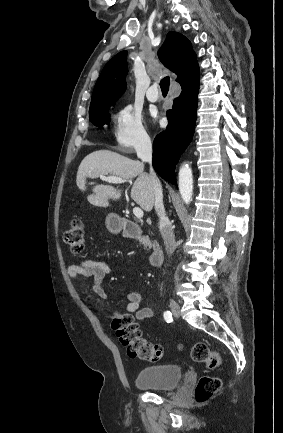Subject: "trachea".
Here are the masks:
<instances>
[{
  "instance_id": "obj_1",
  "label": "trachea",
  "mask_w": 283,
  "mask_h": 433,
  "mask_svg": "<svg viewBox=\"0 0 283 433\" xmlns=\"http://www.w3.org/2000/svg\"><path fill=\"white\" fill-rule=\"evenodd\" d=\"M170 80L169 77L162 78L160 81V88L163 93H167L169 90Z\"/></svg>"
}]
</instances>
